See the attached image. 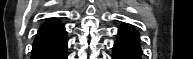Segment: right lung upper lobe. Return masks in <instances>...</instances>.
<instances>
[{
    "label": "right lung upper lobe",
    "mask_w": 193,
    "mask_h": 59,
    "mask_svg": "<svg viewBox=\"0 0 193 59\" xmlns=\"http://www.w3.org/2000/svg\"><path fill=\"white\" fill-rule=\"evenodd\" d=\"M64 32L63 24H61V22L57 19H51L41 26L34 42L56 36Z\"/></svg>",
    "instance_id": "right-lung-upper-lobe-1"
}]
</instances>
